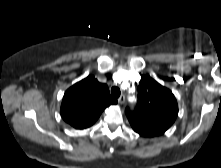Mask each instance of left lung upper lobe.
<instances>
[{
  "mask_svg": "<svg viewBox=\"0 0 221 168\" xmlns=\"http://www.w3.org/2000/svg\"><path fill=\"white\" fill-rule=\"evenodd\" d=\"M133 130L144 137L162 135L175 121L178 105L173 93L149 75L141 77L138 103L134 111L126 109Z\"/></svg>",
  "mask_w": 221,
  "mask_h": 168,
  "instance_id": "5c2ea615",
  "label": "left lung upper lobe"
}]
</instances>
